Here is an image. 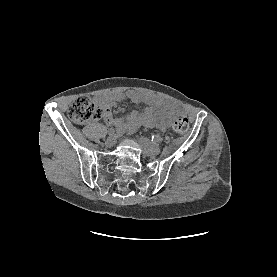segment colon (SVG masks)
<instances>
[{"label": "colon", "instance_id": "1", "mask_svg": "<svg viewBox=\"0 0 277 277\" xmlns=\"http://www.w3.org/2000/svg\"><path fill=\"white\" fill-rule=\"evenodd\" d=\"M107 113L106 107L82 96L75 99L68 108V116L76 123H86L98 120ZM189 120L186 117L177 118L172 124V131L181 135L187 132Z\"/></svg>", "mask_w": 277, "mask_h": 277}]
</instances>
